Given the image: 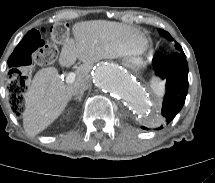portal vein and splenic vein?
Segmentation results:
<instances>
[{"label": "portal vein and splenic vein", "instance_id": "1", "mask_svg": "<svg viewBox=\"0 0 215 183\" xmlns=\"http://www.w3.org/2000/svg\"><path fill=\"white\" fill-rule=\"evenodd\" d=\"M76 79V74L71 72L66 76V82L67 83H73Z\"/></svg>", "mask_w": 215, "mask_h": 183}]
</instances>
